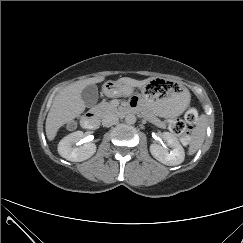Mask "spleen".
<instances>
[{
    "instance_id": "1",
    "label": "spleen",
    "mask_w": 243,
    "mask_h": 243,
    "mask_svg": "<svg viewBox=\"0 0 243 243\" xmlns=\"http://www.w3.org/2000/svg\"><path fill=\"white\" fill-rule=\"evenodd\" d=\"M206 127H207V118L206 115L201 114L196 127L194 128L193 134L191 136L188 154H195L198 149L203 145L206 135Z\"/></svg>"
}]
</instances>
